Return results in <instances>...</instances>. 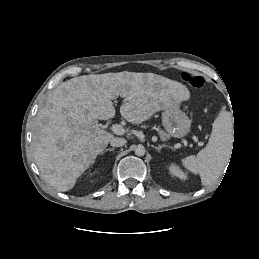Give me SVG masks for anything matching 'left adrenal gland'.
<instances>
[{
  "label": "left adrenal gland",
  "instance_id": "left-adrenal-gland-1",
  "mask_svg": "<svg viewBox=\"0 0 259 259\" xmlns=\"http://www.w3.org/2000/svg\"><path fill=\"white\" fill-rule=\"evenodd\" d=\"M163 147H169V146L162 144V145L155 146V149L160 151Z\"/></svg>",
  "mask_w": 259,
  "mask_h": 259
}]
</instances>
